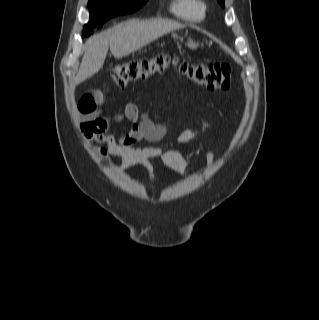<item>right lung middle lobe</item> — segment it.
<instances>
[{"instance_id": "1", "label": "right lung middle lobe", "mask_w": 319, "mask_h": 320, "mask_svg": "<svg viewBox=\"0 0 319 320\" xmlns=\"http://www.w3.org/2000/svg\"><path fill=\"white\" fill-rule=\"evenodd\" d=\"M148 0H89L90 21L84 26L83 35L93 33V27L100 28L103 23L117 15L139 10Z\"/></svg>"}]
</instances>
